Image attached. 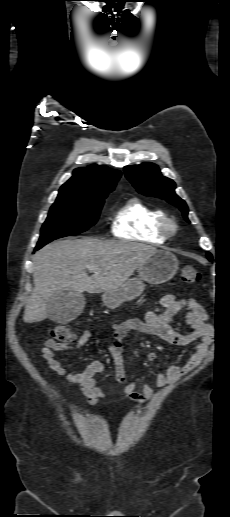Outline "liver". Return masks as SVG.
Wrapping results in <instances>:
<instances>
[{
    "label": "liver",
    "instance_id": "liver-1",
    "mask_svg": "<svg viewBox=\"0 0 230 517\" xmlns=\"http://www.w3.org/2000/svg\"><path fill=\"white\" fill-rule=\"evenodd\" d=\"M157 249L125 241L94 238L56 241L44 246L34 258V289L25 306L23 321L40 322L49 317L47 302L57 291L101 293L123 285ZM97 269L89 277L86 269Z\"/></svg>",
    "mask_w": 230,
    "mask_h": 517
}]
</instances>
